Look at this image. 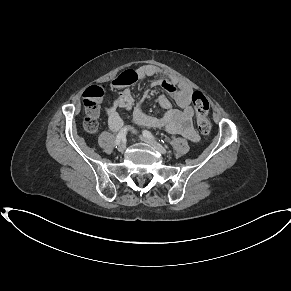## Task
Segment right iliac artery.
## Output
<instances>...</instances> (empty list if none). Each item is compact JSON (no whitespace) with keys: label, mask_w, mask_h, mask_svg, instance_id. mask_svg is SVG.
Returning a JSON list of instances; mask_svg holds the SVG:
<instances>
[{"label":"right iliac artery","mask_w":291,"mask_h":291,"mask_svg":"<svg viewBox=\"0 0 291 291\" xmlns=\"http://www.w3.org/2000/svg\"><path fill=\"white\" fill-rule=\"evenodd\" d=\"M126 134H127V128H122L116 136V145H118L121 142V140L125 139Z\"/></svg>","instance_id":"obj_1"}]
</instances>
